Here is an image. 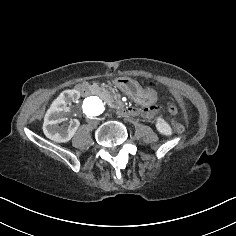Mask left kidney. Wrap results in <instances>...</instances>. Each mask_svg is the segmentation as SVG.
Here are the masks:
<instances>
[{"mask_svg":"<svg viewBox=\"0 0 236 236\" xmlns=\"http://www.w3.org/2000/svg\"><path fill=\"white\" fill-rule=\"evenodd\" d=\"M155 129L161 136L170 138L173 136V129L170 124L162 117L155 118Z\"/></svg>","mask_w":236,"mask_h":236,"instance_id":"obj_1","label":"left kidney"}]
</instances>
